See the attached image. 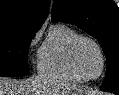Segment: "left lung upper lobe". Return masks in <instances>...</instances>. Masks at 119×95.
<instances>
[{
    "label": "left lung upper lobe",
    "instance_id": "obj_1",
    "mask_svg": "<svg viewBox=\"0 0 119 95\" xmlns=\"http://www.w3.org/2000/svg\"><path fill=\"white\" fill-rule=\"evenodd\" d=\"M52 21L74 24L96 38L107 58L101 90H119V8L112 0H54Z\"/></svg>",
    "mask_w": 119,
    "mask_h": 95
}]
</instances>
